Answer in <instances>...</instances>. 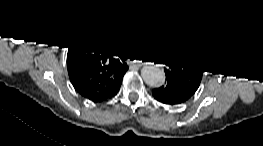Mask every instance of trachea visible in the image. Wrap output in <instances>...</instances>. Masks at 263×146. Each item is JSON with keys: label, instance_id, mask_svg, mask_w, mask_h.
I'll return each mask as SVG.
<instances>
[{"label": "trachea", "instance_id": "3493384b", "mask_svg": "<svg viewBox=\"0 0 263 146\" xmlns=\"http://www.w3.org/2000/svg\"><path fill=\"white\" fill-rule=\"evenodd\" d=\"M119 56L122 61L134 60L136 58L135 54L129 50H121Z\"/></svg>", "mask_w": 263, "mask_h": 146}]
</instances>
